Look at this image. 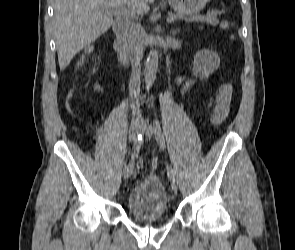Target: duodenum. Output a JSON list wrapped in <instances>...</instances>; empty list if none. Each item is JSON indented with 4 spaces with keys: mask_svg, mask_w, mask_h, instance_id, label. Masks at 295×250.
<instances>
[{
    "mask_svg": "<svg viewBox=\"0 0 295 250\" xmlns=\"http://www.w3.org/2000/svg\"><path fill=\"white\" fill-rule=\"evenodd\" d=\"M128 25V21L125 19H118L113 25V31L115 35L114 48L122 55L127 54L126 33Z\"/></svg>",
    "mask_w": 295,
    "mask_h": 250,
    "instance_id": "1",
    "label": "duodenum"
}]
</instances>
